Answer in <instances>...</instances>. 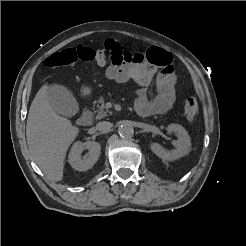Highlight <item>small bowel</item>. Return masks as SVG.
<instances>
[{"mask_svg":"<svg viewBox=\"0 0 246 246\" xmlns=\"http://www.w3.org/2000/svg\"><path fill=\"white\" fill-rule=\"evenodd\" d=\"M105 49L110 53L111 61L105 72L106 77L117 83L132 80L140 86L134 103V109L140 116L161 114L173 106L176 100V75L169 52L153 47L146 52L132 54L112 39L106 41ZM154 80L157 94L149 99L148 87Z\"/></svg>","mask_w":246,"mask_h":246,"instance_id":"obj_1","label":"small bowel"}]
</instances>
